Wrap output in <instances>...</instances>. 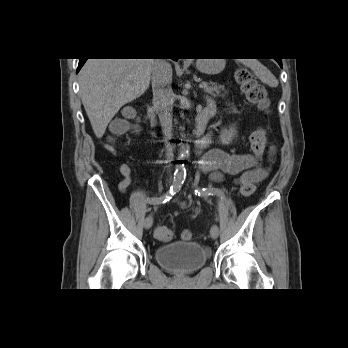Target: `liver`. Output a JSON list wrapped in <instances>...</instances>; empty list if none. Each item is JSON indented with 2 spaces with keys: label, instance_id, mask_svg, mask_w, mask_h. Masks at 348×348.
<instances>
[{
  "label": "liver",
  "instance_id": "liver-1",
  "mask_svg": "<svg viewBox=\"0 0 348 348\" xmlns=\"http://www.w3.org/2000/svg\"><path fill=\"white\" fill-rule=\"evenodd\" d=\"M154 59H88L79 73L80 96L97 138L122 106L145 93Z\"/></svg>",
  "mask_w": 348,
  "mask_h": 348
}]
</instances>
